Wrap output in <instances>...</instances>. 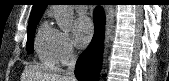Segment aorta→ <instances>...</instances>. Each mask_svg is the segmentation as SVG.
Masks as SVG:
<instances>
[{
  "label": "aorta",
  "mask_w": 169,
  "mask_h": 81,
  "mask_svg": "<svg viewBox=\"0 0 169 81\" xmlns=\"http://www.w3.org/2000/svg\"><path fill=\"white\" fill-rule=\"evenodd\" d=\"M56 23L63 31H70L73 25L74 10L71 5H54L53 7ZM106 25H105V40L103 64H105L110 42L113 37L114 20L116 16V8L114 5L105 7ZM103 73V71H102ZM101 73V74H102Z\"/></svg>",
  "instance_id": "obj_1"
}]
</instances>
